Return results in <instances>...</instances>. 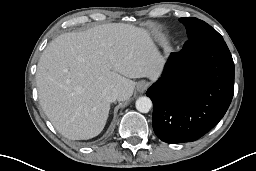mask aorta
I'll return each mask as SVG.
<instances>
[{
    "mask_svg": "<svg viewBox=\"0 0 256 171\" xmlns=\"http://www.w3.org/2000/svg\"><path fill=\"white\" fill-rule=\"evenodd\" d=\"M136 109L141 113H148L152 107V101L149 97L143 96L136 100Z\"/></svg>",
    "mask_w": 256,
    "mask_h": 171,
    "instance_id": "762f6f07",
    "label": "aorta"
}]
</instances>
